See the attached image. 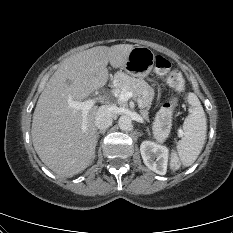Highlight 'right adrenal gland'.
Here are the masks:
<instances>
[{"label": "right adrenal gland", "mask_w": 233, "mask_h": 233, "mask_svg": "<svg viewBox=\"0 0 233 233\" xmlns=\"http://www.w3.org/2000/svg\"><path fill=\"white\" fill-rule=\"evenodd\" d=\"M106 132V130H99L97 133H96V136H97V139H99V134H101V133H105Z\"/></svg>", "instance_id": "obj_1"}]
</instances>
